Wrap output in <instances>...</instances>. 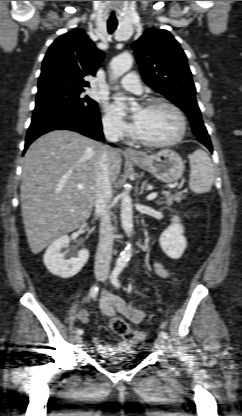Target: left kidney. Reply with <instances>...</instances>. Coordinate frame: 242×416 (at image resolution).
<instances>
[{
	"instance_id": "5707ae66",
	"label": "left kidney",
	"mask_w": 242,
	"mask_h": 416,
	"mask_svg": "<svg viewBox=\"0 0 242 416\" xmlns=\"http://www.w3.org/2000/svg\"><path fill=\"white\" fill-rule=\"evenodd\" d=\"M171 221V225L161 234L159 243L167 256L179 259L187 247V240L179 217L174 216Z\"/></svg>"
}]
</instances>
